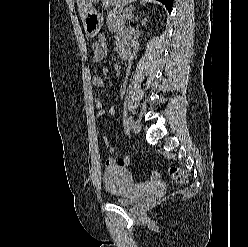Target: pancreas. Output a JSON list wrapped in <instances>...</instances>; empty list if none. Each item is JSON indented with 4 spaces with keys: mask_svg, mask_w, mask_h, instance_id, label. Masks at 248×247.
Instances as JSON below:
<instances>
[{
    "mask_svg": "<svg viewBox=\"0 0 248 247\" xmlns=\"http://www.w3.org/2000/svg\"><path fill=\"white\" fill-rule=\"evenodd\" d=\"M127 14L122 9H114L107 13V25L111 29L122 27L125 23Z\"/></svg>",
    "mask_w": 248,
    "mask_h": 247,
    "instance_id": "pancreas-1",
    "label": "pancreas"
}]
</instances>
